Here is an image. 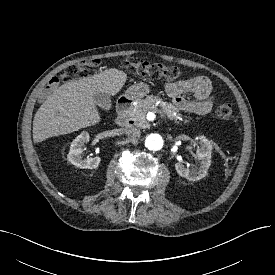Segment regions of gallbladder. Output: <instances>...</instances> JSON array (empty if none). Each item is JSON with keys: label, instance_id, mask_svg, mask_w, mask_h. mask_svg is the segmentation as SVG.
<instances>
[{"label": "gallbladder", "instance_id": "obj_1", "mask_svg": "<svg viewBox=\"0 0 275 275\" xmlns=\"http://www.w3.org/2000/svg\"><path fill=\"white\" fill-rule=\"evenodd\" d=\"M94 102L105 111H109L111 109V99L106 93L96 92L94 95Z\"/></svg>", "mask_w": 275, "mask_h": 275}]
</instances>
